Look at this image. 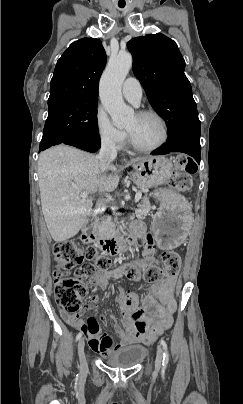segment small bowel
<instances>
[{"mask_svg":"<svg viewBox=\"0 0 243 404\" xmlns=\"http://www.w3.org/2000/svg\"><path fill=\"white\" fill-rule=\"evenodd\" d=\"M134 229L142 235L143 267L155 263L154 240L150 234H143L144 228L141 224H136ZM122 270L113 274L107 271H98L95 275V283L104 289L108 286L111 277L121 278ZM175 278H166L160 283L151 287L150 294L145 297L143 307L137 309L125 317V329L118 323H114V331L119 337V343L112 346V339L106 334L100 333V327L95 318L90 317L87 321L80 319V315L75 317L66 312H62L64 320L77 330H81L88 340L90 348L103 356H107L113 350L126 345L138 342L150 344L159 335L168 329L172 323V314L175 311L176 303L174 296ZM98 302V297L93 296L85 309L93 308Z\"/></svg>","mask_w":243,"mask_h":404,"instance_id":"small-bowel-1","label":"small bowel"}]
</instances>
